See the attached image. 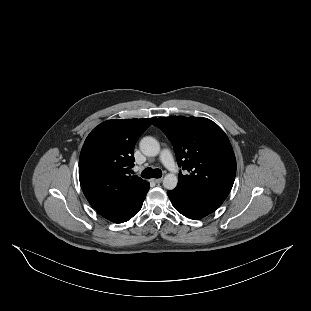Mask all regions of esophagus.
<instances>
[{
	"mask_svg": "<svg viewBox=\"0 0 311 311\" xmlns=\"http://www.w3.org/2000/svg\"><path fill=\"white\" fill-rule=\"evenodd\" d=\"M156 184H159L163 181V178H159V179H154L153 180Z\"/></svg>",
	"mask_w": 311,
	"mask_h": 311,
	"instance_id": "1",
	"label": "esophagus"
}]
</instances>
